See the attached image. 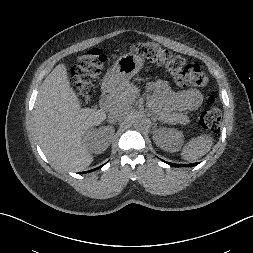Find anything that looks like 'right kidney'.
<instances>
[{"instance_id": "ca27d5eb", "label": "right kidney", "mask_w": 253, "mask_h": 253, "mask_svg": "<svg viewBox=\"0 0 253 253\" xmlns=\"http://www.w3.org/2000/svg\"><path fill=\"white\" fill-rule=\"evenodd\" d=\"M110 130V132H108ZM114 135L111 127H100L99 129L89 130L84 136V142L88 150L95 154L103 153L110 145Z\"/></svg>"}]
</instances>
